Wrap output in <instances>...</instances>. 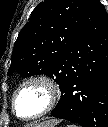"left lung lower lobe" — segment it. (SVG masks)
I'll use <instances>...</instances> for the list:
<instances>
[{
    "instance_id": "obj_1",
    "label": "left lung lower lobe",
    "mask_w": 108,
    "mask_h": 127,
    "mask_svg": "<svg viewBox=\"0 0 108 127\" xmlns=\"http://www.w3.org/2000/svg\"><path fill=\"white\" fill-rule=\"evenodd\" d=\"M63 71L62 96L52 116L108 127V15L99 0H89Z\"/></svg>"
}]
</instances>
